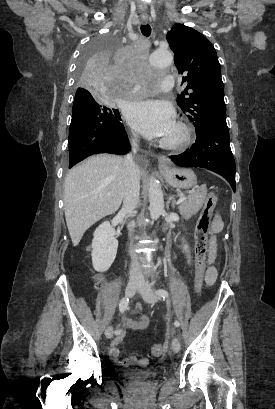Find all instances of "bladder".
<instances>
[{
	"label": "bladder",
	"instance_id": "1",
	"mask_svg": "<svg viewBox=\"0 0 275 409\" xmlns=\"http://www.w3.org/2000/svg\"><path fill=\"white\" fill-rule=\"evenodd\" d=\"M130 374H133L132 380L133 381H148L151 379L157 378V372L156 371H130Z\"/></svg>",
	"mask_w": 275,
	"mask_h": 409
}]
</instances>
